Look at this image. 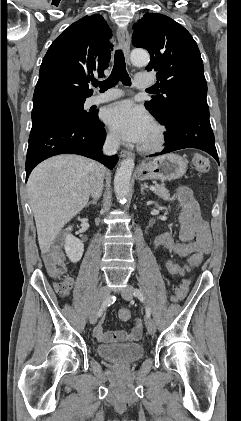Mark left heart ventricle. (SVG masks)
<instances>
[{
    "instance_id": "left-heart-ventricle-1",
    "label": "left heart ventricle",
    "mask_w": 241,
    "mask_h": 421,
    "mask_svg": "<svg viewBox=\"0 0 241 421\" xmlns=\"http://www.w3.org/2000/svg\"><path fill=\"white\" fill-rule=\"evenodd\" d=\"M152 138H153V129L151 128L143 143H147V142L151 141Z\"/></svg>"
}]
</instances>
